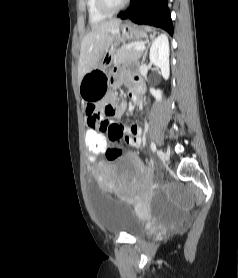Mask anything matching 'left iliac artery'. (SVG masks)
Returning a JSON list of instances; mask_svg holds the SVG:
<instances>
[{
    "instance_id": "obj_1",
    "label": "left iliac artery",
    "mask_w": 238,
    "mask_h": 278,
    "mask_svg": "<svg viewBox=\"0 0 238 278\" xmlns=\"http://www.w3.org/2000/svg\"><path fill=\"white\" fill-rule=\"evenodd\" d=\"M151 149H152L153 152L156 151V145H155L154 142H151Z\"/></svg>"
}]
</instances>
